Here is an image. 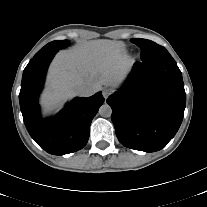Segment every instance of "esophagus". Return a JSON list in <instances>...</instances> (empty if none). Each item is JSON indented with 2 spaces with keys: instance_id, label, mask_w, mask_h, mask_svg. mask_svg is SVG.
I'll use <instances>...</instances> for the list:
<instances>
[{
  "instance_id": "1",
  "label": "esophagus",
  "mask_w": 207,
  "mask_h": 207,
  "mask_svg": "<svg viewBox=\"0 0 207 207\" xmlns=\"http://www.w3.org/2000/svg\"><path fill=\"white\" fill-rule=\"evenodd\" d=\"M102 94H103V97L107 99L112 94V90L109 88H104L102 91Z\"/></svg>"
}]
</instances>
